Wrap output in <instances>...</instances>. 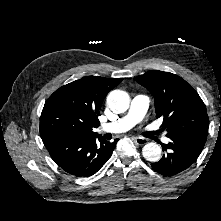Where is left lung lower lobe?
<instances>
[{
	"label": "left lung lower lobe",
	"instance_id": "obj_1",
	"mask_svg": "<svg viewBox=\"0 0 221 221\" xmlns=\"http://www.w3.org/2000/svg\"><path fill=\"white\" fill-rule=\"evenodd\" d=\"M206 132L183 135L171 138V142L167 145L162 144L165 151L169 150L162 159L156 163H152V168L164 175L174 176L187 170L200 155L206 139Z\"/></svg>",
	"mask_w": 221,
	"mask_h": 221
}]
</instances>
